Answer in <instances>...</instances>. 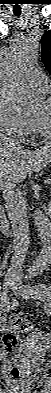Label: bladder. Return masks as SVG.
I'll return each instance as SVG.
<instances>
[{
    "mask_svg": "<svg viewBox=\"0 0 51 393\" xmlns=\"http://www.w3.org/2000/svg\"><path fill=\"white\" fill-rule=\"evenodd\" d=\"M26 368L31 373V376L35 378H39L44 375L48 370V366L46 364L37 367L26 366Z\"/></svg>",
    "mask_w": 51,
    "mask_h": 393,
    "instance_id": "1",
    "label": "bladder"
}]
</instances>
